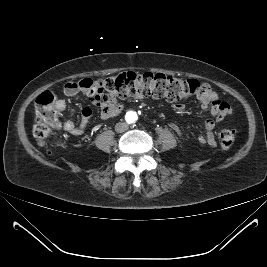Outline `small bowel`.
I'll return each mask as SVG.
<instances>
[{
  "mask_svg": "<svg viewBox=\"0 0 267 267\" xmlns=\"http://www.w3.org/2000/svg\"><path fill=\"white\" fill-rule=\"evenodd\" d=\"M206 89L201 94L197 95L200 103V107L203 110H210L215 119H209L204 124L205 133L198 137V141L201 144H207L208 146H216L215 140V123L221 122L224 118L231 113V107L228 103L223 102L216 92H214L209 86L205 85ZM63 92L66 96H74L80 92L88 93L77 86V82H68L65 84ZM101 109V118L104 120L112 119L118 116L122 112V105L115 101L110 100L104 103L98 104ZM56 110L63 114L67 110V103L63 99H59L55 104ZM176 108L181 110L184 108L183 104H177ZM92 116V110L90 108H84L79 124H75L70 119H64L61 127L74 136H81L85 133L86 125ZM171 129L179 136H182V131L176 123H170Z\"/></svg>",
  "mask_w": 267,
  "mask_h": 267,
  "instance_id": "small-bowel-1",
  "label": "small bowel"
}]
</instances>
